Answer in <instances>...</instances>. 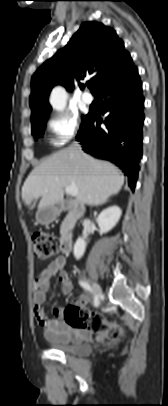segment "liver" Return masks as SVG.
Returning a JSON list of instances; mask_svg holds the SVG:
<instances>
[{
	"label": "liver",
	"instance_id": "1",
	"mask_svg": "<svg viewBox=\"0 0 168 406\" xmlns=\"http://www.w3.org/2000/svg\"><path fill=\"white\" fill-rule=\"evenodd\" d=\"M124 184L122 172L112 163L95 159L71 147L62 149L35 167L22 187V199L28 206L41 197L38 209L63 200L64 188L75 185L76 200L98 206L119 193ZM35 203L30 207L33 208Z\"/></svg>",
	"mask_w": 168,
	"mask_h": 406
}]
</instances>
